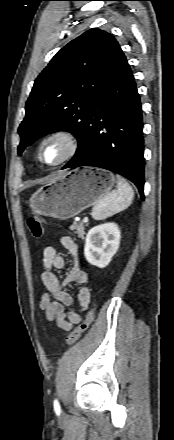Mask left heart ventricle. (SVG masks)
Segmentation results:
<instances>
[{
  "label": "left heart ventricle",
  "mask_w": 174,
  "mask_h": 440,
  "mask_svg": "<svg viewBox=\"0 0 174 440\" xmlns=\"http://www.w3.org/2000/svg\"><path fill=\"white\" fill-rule=\"evenodd\" d=\"M66 149L62 140H52L48 142L43 149L42 157L47 163H55L61 159Z\"/></svg>",
  "instance_id": "1"
}]
</instances>
